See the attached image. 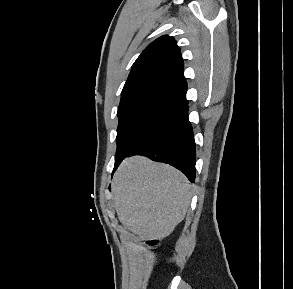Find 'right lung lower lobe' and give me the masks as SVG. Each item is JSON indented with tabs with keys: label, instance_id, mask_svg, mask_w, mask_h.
<instances>
[{
	"label": "right lung lower lobe",
	"instance_id": "obj_1",
	"mask_svg": "<svg viewBox=\"0 0 293 289\" xmlns=\"http://www.w3.org/2000/svg\"><path fill=\"white\" fill-rule=\"evenodd\" d=\"M133 154L172 165L194 182L196 154L188 103L157 121L126 149L117 152L113 172L125 157Z\"/></svg>",
	"mask_w": 293,
	"mask_h": 289
}]
</instances>
